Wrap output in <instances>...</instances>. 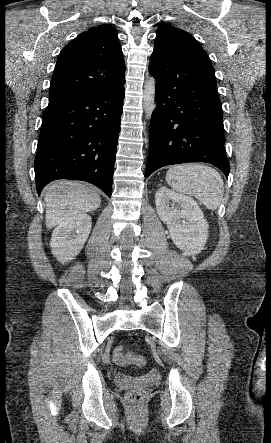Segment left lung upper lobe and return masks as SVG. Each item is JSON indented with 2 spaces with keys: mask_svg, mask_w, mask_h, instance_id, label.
<instances>
[{
  "mask_svg": "<svg viewBox=\"0 0 271 443\" xmlns=\"http://www.w3.org/2000/svg\"><path fill=\"white\" fill-rule=\"evenodd\" d=\"M154 51L211 65L200 43L188 32L168 24L157 29Z\"/></svg>",
  "mask_w": 271,
  "mask_h": 443,
  "instance_id": "1",
  "label": "left lung upper lobe"
}]
</instances>
